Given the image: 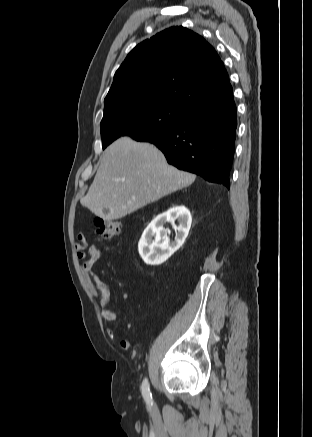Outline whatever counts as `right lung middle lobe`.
<instances>
[{
    "label": "right lung middle lobe",
    "mask_w": 312,
    "mask_h": 437,
    "mask_svg": "<svg viewBox=\"0 0 312 437\" xmlns=\"http://www.w3.org/2000/svg\"><path fill=\"white\" fill-rule=\"evenodd\" d=\"M188 113L187 109L161 102L123 105L103 116L102 147L106 148L121 136H130L137 141L160 136L179 126Z\"/></svg>",
    "instance_id": "obj_1"
}]
</instances>
